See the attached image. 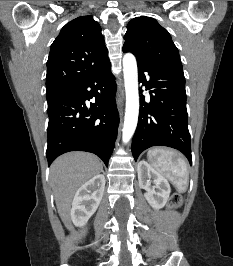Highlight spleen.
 Returning <instances> with one entry per match:
<instances>
[{
  "label": "spleen",
  "instance_id": "spleen-1",
  "mask_svg": "<svg viewBox=\"0 0 233 266\" xmlns=\"http://www.w3.org/2000/svg\"><path fill=\"white\" fill-rule=\"evenodd\" d=\"M147 158L154 169L168 178L178 192H186L189 173L187 164L179 153L156 147L148 151Z\"/></svg>",
  "mask_w": 233,
  "mask_h": 266
}]
</instances>
